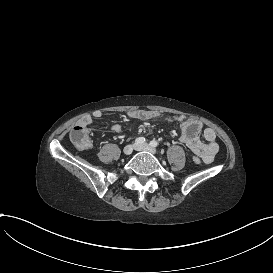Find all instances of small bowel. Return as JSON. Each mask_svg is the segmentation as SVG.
<instances>
[{"instance_id":"c3829d8e","label":"small bowel","mask_w":273,"mask_h":273,"mask_svg":"<svg viewBox=\"0 0 273 273\" xmlns=\"http://www.w3.org/2000/svg\"><path fill=\"white\" fill-rule=\"evenodd\" d=\"M103 115L102 111L95 110L91 115H85L91 119H99ZM128 120L152 121L162 117L161 112L156 110L137 109L131 110L126 115ZM165 120L170 123L180 124L179 139L187 146V142L192 137H197L205 144V149L202 153L196 154L202 158L206 164H211L218 152V143L216 141V133L212 128L204 127L203 123L193 117L184 115H166ZM113 132H120L122 126L114 124L111 127Z\"/></svg>"}]
</instances>
